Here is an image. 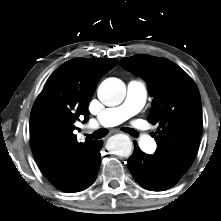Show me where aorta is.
Here are the masks:
<instances>
[{
    "label": "aorta",
    "instance_id": "1",
    "mask_svg": "<svg viewBox=\"0 0 221 221\" xmlns=\"http://www.w3.org/2000/svg\"><path fill=\"white\" fill-rule=\"evenodd\" d=\"M97 95L99 100L106 106L119 105L125 98L126 87L118 78L105 79L99 86ZM108 149L114 154L127 157L131 154L132 142L125 134H117L109 138Z\"/></svg>",
    "mask_w": 221,
    "mask_h": 221
}]
</instances>
